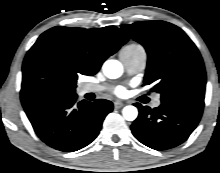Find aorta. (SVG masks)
Wrapping results in <instances>:
<instances>
[{"instance_id":"aorta-1","label":"aorta","mask_w":220,"mask_h":173,"mask_svg":"<svg viewBox=\"0 0 220 173\" xmlns=\"http://www.w3.org/2000/svg\"><path fill=\"white\" fill-rule=\"evenodd\" d=\"M103 73L110 79L119 78L123 73L122 64L117 60H107L103 65ZM122 114L127 121H134L138 116V110L135 106L128 105L123 108Z\"/></svg>"}]
</instances>
